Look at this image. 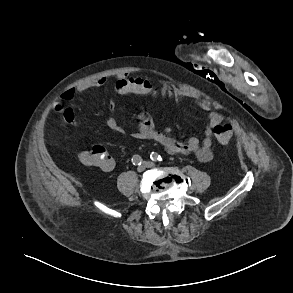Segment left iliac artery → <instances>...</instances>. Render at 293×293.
Wrapping results in <instances>:
<instances>
[{
  "instance_id": "1",
  "label": "left iliac artery",
  "mask_w": 293,
  "mask_h": 293,
  "mask_svg": "<svg viewBox=\"0 0 293 293\" xmlns=\"http://www.w3.org/2000/svg\"><path fill=\"white\" fill-rule=\"evenodd\" d=\"M150 158L152 161H155V162H162L163 161V158L160 154H158L157 152H152L150 154Z\"/></svg>"
}]
</instances>
